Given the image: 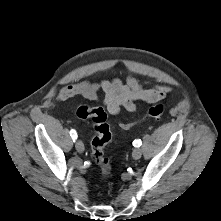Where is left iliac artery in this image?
<instances>
[{
	"label": "left iliac artery",
	"mask_w": 221,
	"mask_h": 221,
	"mask_svg": "<svg viewBox=\"0 0 221 221\" xmlns=\"http://www.w3.org/2000/svg\"><path fill=\"white\" fill-rule=\"evenodd\" d=\"M133 145H134L135 147H140V146L142 145V142H141L140 139H139V140H135V141L133 142Z\"/></svg>",
	"instance_id": "left-iliac-artery-1"
}]
</instances>
